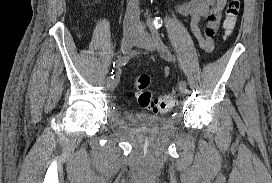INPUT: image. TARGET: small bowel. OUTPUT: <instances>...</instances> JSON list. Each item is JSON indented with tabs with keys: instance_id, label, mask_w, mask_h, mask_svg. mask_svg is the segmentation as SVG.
Masks as SVG:
<instances>
[{
	"instance_id": "obj_1",
	"label": "small bowel",
	"mask_w": 272,
	"mask_h": 183,
	"mask_svg": "<svg viewBox=\"0 0 272 183\" xmlns=\"http://www.w3.org/2000/svg\"><path fill=\"white\" fill-rule=\"evenodd\" d=\"M226 4L227 0H185L178 6L204 52L210 53L214 49L213 36H217L221 13ZM203 19L206 21L204 27L201 24Z\"/></svg>"
}]
</instances>
